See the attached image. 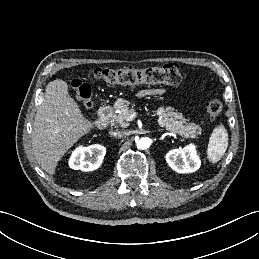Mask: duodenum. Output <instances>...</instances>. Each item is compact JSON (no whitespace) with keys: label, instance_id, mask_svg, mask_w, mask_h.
<instances>
[{"label":"duodenum","instance_id":"obj_1","mask_svg":"<svg viewBox=\"0 0 259 259\" xmlns=\"http://www.w3.org/2000/svg\"><path fill=\"white\" fill-rule=\"evenodd\" d=\"M110 118H111V108L109 106H103L99 111V116L95 122V125L98 128H104L109 123Z\"/></svg>","mask_w":259,"mask_h":259}]
</instances>
